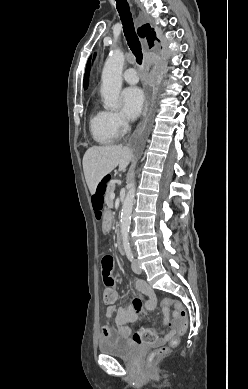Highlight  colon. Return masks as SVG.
<instances>
[{
  "label": "colon",
  "instance_id": "5ec220e1",
  "mask_svg": "<svg viewBox=\"0 0 248 389\" xmlns=\"http://www.w3.org/2000/svg\"><path fill=\"white\" fill-rule=\"evenodd\" d=\"M107 180L106 176L102 177V180L100 181L101 185H96L95 190L96 192L92 195L91 205L93 206L94 210L96 211L94 213V216L96 218H99L101 216V209L104 205L105 195L102 192H105V181ZM102 264V274H103V281L106 286L113 288L117 287L116 280L112 279L111 274H114L116 272V269L114 268V258L110 255H106L101 260ZM116 300V294L109 291H104L103 293V301L105 304L112 303ZM170 306H173L174 313L176 316V332L171 336L168 344L166 346L157 348L153 351H151L148 354L147 362L149 367H154L156 362L162 358L171 348H174L178 345L180 337L186 333L188 329V316L187 311L183 304L175 299V298H165L161 302V307L164 309L169 308ZM164 336V331H154L149 335V338L151 340H156L158 336ZM135 340V338H134Z\"/></svg>",
  "mask_w": 248,
  "mask_h": 389
}]
</instances>
